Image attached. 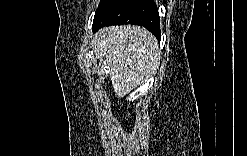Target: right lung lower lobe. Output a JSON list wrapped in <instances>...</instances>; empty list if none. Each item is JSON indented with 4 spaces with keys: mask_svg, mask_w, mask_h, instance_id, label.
<instances>
[{
    "mask_svg": "<svg viewBox=\"0 0 247 156\" xmlns=\"http://www.w3.org/2000/svg\"><path fill=\"white\" fill-rule=\"evenodd\" d=\"M135 24L145 27L159 40L160 18L153 0H112L93 21V32L110 25Z\"/></svg>",
    "mask_w": 247,
    "mask_h": 156,
    "instance_id": "obj_1",
    "label": "right lung lower lobe"
}]
</instances>
